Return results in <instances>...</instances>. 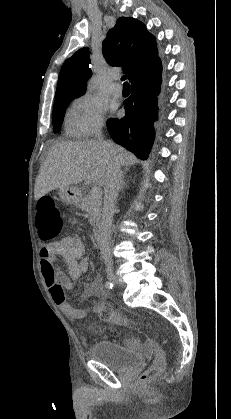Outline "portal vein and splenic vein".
Returning <instances> with one entry per match:
<instances>
[{
  "label": "portal vein and splenic vein",
  "mask_w": 231,
  "mask_h": 419,
  "mask_svg": "<svg viewBox=\"0 0 231 419\" xmlns=\"http://www.w3.org/2000/svg\"><path fill=\"white\" fill-rule=\"evenodd\" d=\"M102 190L100 187L95 186L91 191V197L93 198H101Z\"/></svg>",
  "instance_id": "1"
}]
</instances>
